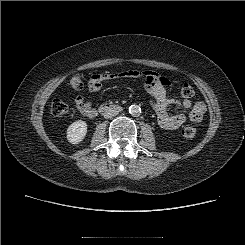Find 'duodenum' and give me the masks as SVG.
Wrapping results in <instances>:
<instances>
[{"mask_svg": "<svg viewBox=\"0 0 245 245\" xmlns=\"http://www.w3.org/2000/svg\"><path fill=\"white\" fill-rule=\"evenodd\" d=\"M122 107L120 105L114 103H104L99 106L98 112H105V111H121Z\"/></svg>", "mask_w": 245, "mask_h": 245, "instance_id": "410a0bca", "label": "duodenum"}]
</instances>
